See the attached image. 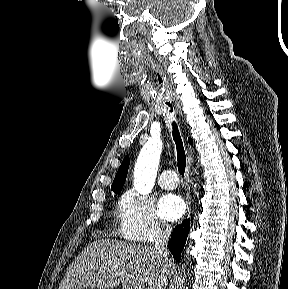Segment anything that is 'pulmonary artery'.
I'll use <instances>...</instances> for the list:
<instances>
[{
    "instance_id": "1",
    "label": "pulmonary artery",
    "mask_w": 288,
    "mask_h": 289,
    "mask_svg": "<svg viewBox=\"0 0 288 289\" xmlns=\"http://www.w3.org/2000/svg\"><path fill=\"white\" fill-rule=\"evenodd\" d=\"M158 183L163 189L170 190L177 186L178 178L173 170H165L160 175Z\"/></svg>"
}]
</instances>
